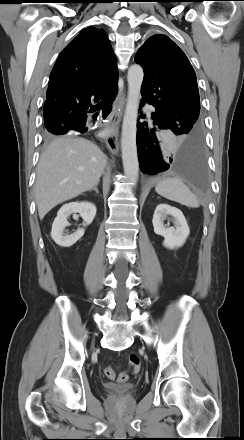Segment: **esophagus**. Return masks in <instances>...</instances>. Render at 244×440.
Wrapping results in <instances>:
<instances>
[{
	"mask_svg": "<svg viewBox=\"0 0 244 440\" xmlns=\"http://www.w3.org/2000/svg\"><path fill=\"white\" fill-rule=\"evenodd\" d=\"M126 102V94L124 90H121L114 102L113 111L110 116L108 128L111 130V134L106 138V145L108 149L117 154L119 151L118 141V127L121 121L122 112Z\"/></svg>",
	"mask_w": 244,
	"mask_h": 440,
	"instance_id": "34e87169",
	"label": "esophagus"
}]
</instances>
